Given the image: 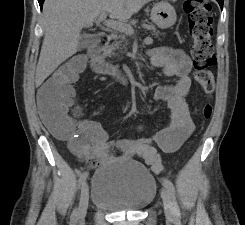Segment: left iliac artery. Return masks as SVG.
<instances>
[{
  "mask_svg": "<svg viewBox=\"0 0 245 225\" xmlns=\"http://www.w3.org/2000/svg\"><path fill=\"white\" fill-rule=\"evenodd\" d=\"M163 185L167 188V190L169 191L172 201H173V212L176 216H180V209H179V205L176 199V194H175V188L173 183L168 180V179H162Z\"/></svg>",
  "mask_w": 245,
  "mask_h": 225,
  "instance_id": "left-iliac-artery-1",
  "label": "left iliac artery"
}]
</instances>
